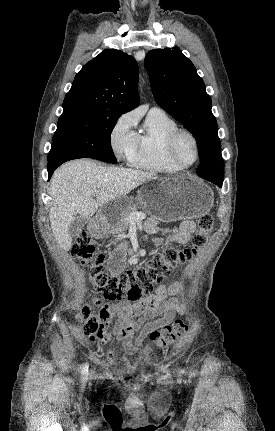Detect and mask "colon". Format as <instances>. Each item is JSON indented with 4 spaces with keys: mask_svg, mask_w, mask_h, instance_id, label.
Masks as SVG:
<instances>
[{
    "mask_svg": "<svg viewBox=\"0 0 275 431\" xmlns=\"http://www.w3.org/2000/svg\"><path fill=\"white\" fill-rule=\"evenodd\" d=\"M214 226L213 217L202 215L197 220V231L193 236L192 247L183 250L167 248L155 253L151 259L138 264L132 269L122 273H107L105 270V257L96 253L95 243L91 236L82 232L75 240L72 254L91 267L90 278L96 290L107 300H134L142 294L150 293L154 285L160 283L178 265L188 262L204 245ZM96 305L100 300L95 301ZM84 325L83 332L94 337L100 329L98 315L92 314L89 307L82 311ZM187 330L185 320H177L160 330L150 333V340L161 348L175 342Z\"/></svg>",
    "mask_w": 275,
    "mask_h": 431,
    "instance_id": "obj_1",
    "label": "colon"
}]
</instances>
